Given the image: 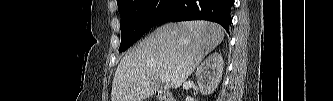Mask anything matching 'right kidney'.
<instances>
[{"mask_svg":"<svg viewBox=\"0 0 333 101\" xmlns=\"http://www.w3.org/2000/svg\"><path fill=\"white\" fill-rule=\"evenodd\" d=\"M223 58L220 53H212L197 68L196 78L203 94H211L218 87L223 72ZM186 101H194L193 98L187 96Z\"/></svg>","mask_w":333,"mask_h":101,"instance_id":"1","label":"right kidney"}]
</instances>
